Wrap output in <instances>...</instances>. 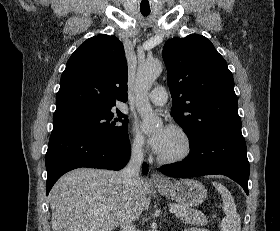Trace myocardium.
<instances>
[{
  "instance_id": "f54148a6",
  "label": "myocardium",
  "mask_w": 280,
  "mask_h": 231,
  "mask_svg": "<svg viewBox=\"0 0 280 231\" xmlns=\"http://www.w3.org/2000/svg\"><path fill=\"white\" fill-rule=\"evenodd\" d=\"M172 129L175 132V134L181 139L183 143V147L180 151L176 152L173 155L170 156L159 155L158 160L164 164L180 163L186 160L187 158H189L194 150L193 139L188 131H186L185 129L179 126H173Z\"/></svg>"
}]
</instances>
